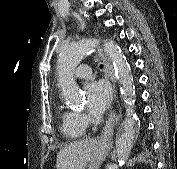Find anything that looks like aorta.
<instances>
[{
    "instance_id": "obj_1",
    "label": "aorta",
    "mask_w": 177,
    "mask_h": 169,
    "mask_svg": "<svg viewBox=\"0 0 177 169\" xmlns=\"http://www.w3.org/2000/svg\"><path fill=\"white\" fill-rule=\"evenodd\" d=\"M95 45L94 39L82 40L64 46L59 55L57 61L58 86L64 101L71 106H78L82 101L79 88L73 78V71L87 55L94 51ZM103 46L106 55L112 60L115 74L122 85V96L126 106L125 119L116 137L117 158L119 164L123 165L129 158L139 127L134 108L135 86L129 63L120 48L114 42L107 40L104 41Z\"/></svg>"
}]
</instances>
